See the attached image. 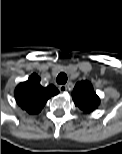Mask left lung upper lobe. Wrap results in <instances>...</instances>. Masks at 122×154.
<instances>
[{"instance_id":"left-lung-upper-lobe-1","label":"left lung upper lobe","mask_w":122,"mask_h":154,"mask_svg":"<svg viewBox=\"0 0 122 154\" xmlns=\"http://www.w3.org/2000/svg\"><path fill=\"white\" fill-rule=\"evenodd\" d=\"M72 98L75 105L85 113L92 112L100 103V99L93 90L92 84L88 81H81L75 85Z\"/></svg>"}]
</instances>
